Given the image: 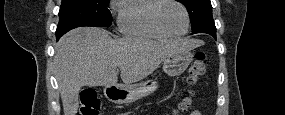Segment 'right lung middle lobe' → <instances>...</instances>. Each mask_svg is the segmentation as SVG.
<instances>
[{
    "instance_id": "dd1d6c3e",
    "label": "right lung middle lobe",
    "mask_w": 285,
    "mask_h": 115,
    "mask_svg": "<svg viewBox=\"0 0 285 115\" xmlns=\"http://www.w3.org/2000/svg\"><path fill=\"white\" fill-rule=\"evenodd\" d=\"M109 0H62L56 36L81 26L107 27L111 25Z\"/></svg>"
}]
</instances>
